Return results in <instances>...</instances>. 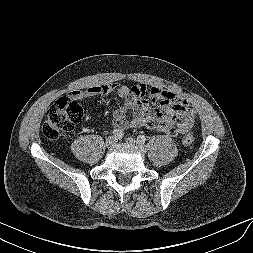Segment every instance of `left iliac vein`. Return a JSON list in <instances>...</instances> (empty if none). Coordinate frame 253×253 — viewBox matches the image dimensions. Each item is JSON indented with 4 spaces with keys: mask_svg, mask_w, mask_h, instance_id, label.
Wrapping results in <instances>:
<instances>
[{
    "mask_svg": "<svg viewBox=\"0 0 253 253\" xmlns=\"http://www.w3.org/2000/svg\"><path fill=\"white\" fill-rule=\"evenodd\" d=\"M126 142L131 146L137 147L140 151L145 152V147L142 144H140L137 140H135L134 138L128 137V138H126Z\"/></svg>",
    "mask_w": 253,
    "mask_h": 253,
    "instance_id": "1",
    "label": "left iliac vein"
}]
</instances>
